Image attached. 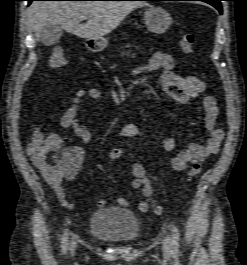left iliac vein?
Listing matches in <instances>:
<instances>
[{"label": "left iliac vein", "instance_id": "1", "mask_svg": "<svg viewBox=\"0 0 247 265\" xmlns=\"http://www.w3.org/2000/svg\"><path fill=\"white\" fill-rule=\"evenodd\" d=\"M162 251L165 257L171 255V239L169 236L165 237L162 242Z\"/></svg>", "mask_w": 247, "mask_h": 265}]
</instances>
